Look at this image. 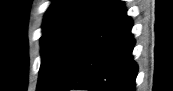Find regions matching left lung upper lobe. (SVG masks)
I'll use <instances>...</instances> for the list:
<instances>
[{"mask_svg": "<svg viewBox=\"0 0 173 91\" xmlns=\"http://www.w3.org/2000/svg\"><path fill=\"white\" fill-rule=\"evenodd\" d=\"M116 0H52L43 22L37 91H51L73 53Z\"/></svg>", "mask_w": 173, "mask_h": 91, "instance_id": "1", "label": "left lung upper lobe"}]
</instances>
